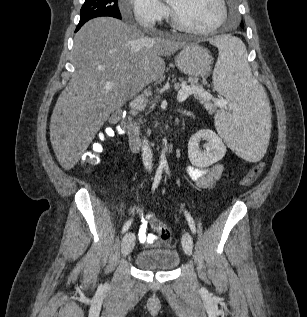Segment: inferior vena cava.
I'll return each mask as SVG.
<instances>
[{"label":"inferior vena cava","mask_w":307,"mask_h":317,"mask_svg":"<svg viewBox=\"0 0 307 317\" xmlns=\"http://www.w3.org/2000/svg\"><path fill=\"white\" fill-rule=\"evenodd\" d=\"M142 161L145 168L150 172L152 169L153 153L146 138L142 141Z\"/></svg>","instance_id":"602c4592"}]
</instances>
